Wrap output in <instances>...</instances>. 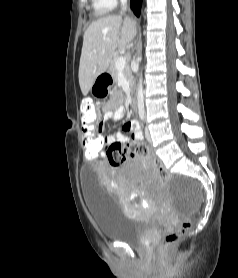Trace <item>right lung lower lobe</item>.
I'll return each mask as SVG.
<instances>
[{
  "label": "right lung lower lobe",
  "mask_w": 238,
  "mask_h": 278,
  "mask_svg": "<svg viewBox=\"0 0 238 278\" xmlns=\"http://www.w3.org/2000/svg\"><path fill=\"white\" fill-rule=\"evenodd\" d=\"M141 3H142V0H131V8H132L133 12L135 13V15H137L138 17L140 15Z\"/></svg>",
  "instance_id": "98d812e1"
}]
</instances>
